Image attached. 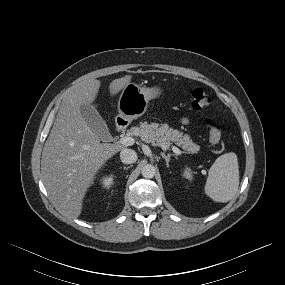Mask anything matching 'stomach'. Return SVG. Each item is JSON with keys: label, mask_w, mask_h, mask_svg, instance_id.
Returning a JSON list of instances; mask_svg holds the SVG:
<instances>
[{"label": "stomach", "mask_w": 285, "mask_h": 285, "mask_svg": "<svg viewBox=\"0 0 285 285\" xmlns=\"http://www.w3.org/2000/svg\"><path fill=\"white\" fill-rule=\"evenodd\" d=\"M162 94L161 87L146 88L128 83L118 100L119 117L127 122L137 119L146 112L149 100L159 98Z\"/></svg>", "instance_id": "1"}]
</instances>
